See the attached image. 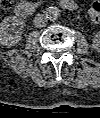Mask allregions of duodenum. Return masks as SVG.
Segmentation results:
<instances>
[{
	"label": "duodenum",
	"mask_w": 100,
	"mask_h": 118,
	"mask_svg": "<svg viewBox=\"0 0 100 118\" xmlns=\"http://www.w3.org/2000/svg\"><path fill=\"white\" fill-rule=\"evenodd\" d=\"M61 7L72 10L76 8V5L73 0H61L60 1ZM36 8L33 4L20 1L15 6V12L17 15L22 17H30L34 14Z\"/></svg>",
	"instance_id": "obj_1"
}]
</instances>
